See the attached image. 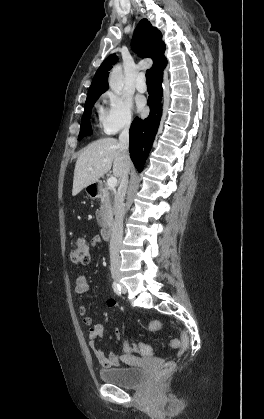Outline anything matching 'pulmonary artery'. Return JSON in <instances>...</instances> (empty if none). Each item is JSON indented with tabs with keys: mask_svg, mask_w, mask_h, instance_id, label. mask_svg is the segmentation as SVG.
<instances>
[{
	"mask_svg": "<svg viewBox=\"0 0 264 419\" xmlns=\"http://www.w3.org/2000/svg\"><path fill=\"white\" fill-rule=\"evenodd\" d=\"M136 89L139 92H145L147 89L146 83H145V75L140 73L137 76V80H136Z\"/></svg>",
	"mask_w": 264,
	"mask_h": 419,
	"instance_id": "pulmonary-artery-1",
	"label": "pulmonary artery"
}]
</instances>
